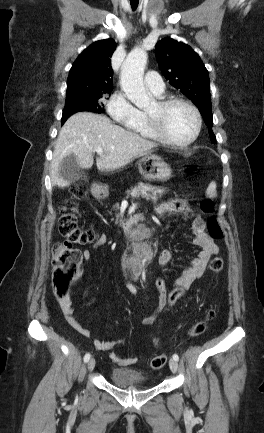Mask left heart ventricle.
Listing matches in <instances>:
<instances>
[{
	"instance_id": "b2bd125f",
	"label": "left heart ventricle",
	"mask_w": 264,
	"mask_h": 433,
	"mask_svg": "<svg viewBox=\"0 0 264 433\" xmlns=\"http://www.w3.org/2000/svg\"><path fill=\"white\" fill-rule=\"evenodd\" d=\"M148 112L156 111L154 103ZM163 124L167 135L175 141H186L195 131L196 120L189 108L177 104L168 108L163 114Z\"/></svg>"
}]
</instances>
